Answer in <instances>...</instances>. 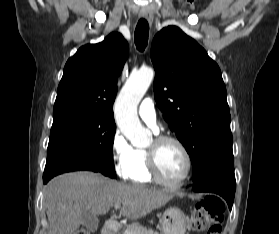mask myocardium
Returning a JSON list of instances; mask_svg holds the SVG:
<instances>
[{
	"label": "myocardium",
	"mask_w": 279,
	"mask_h": 234,
	"mask_svg": "<svg viewBox=\"0 0 279 234\" xmlns=\"http://www.w3.org/2000/svg\"><path fill=\"white\" fill-rule=\"evenodd\" d=\"M165 143H173L177 145L183 152L186 159V170L184 175L179 180L174 182L168 181L162 176L158 165L159 149ZM146 151L149 172L152 176V179L157 183L169 188L176 189L185 184V182L189 179L193 169V159L190 151L180 139L169 135H159L154 138L153 145L147 148Z\"/></svg>",
	"instance_id": "obj_1"
}]
</instances>
